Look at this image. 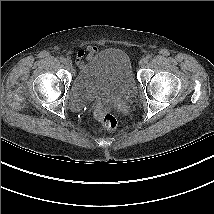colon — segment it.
<instances>
[{
    "instance_id": "5ec220e1",
    "label": "colon",
    "mask_w": 214,
    "mask_h": 214,
    "mask_svg": "<svg viewBox=\"0 0 214 214\" xmlns=\"http://www.w3.org/2000/svg\"><path fill=\"white\" fill-rule=\"evenodd\" d=\"M96 116L102 123V127L104 130L113 131L117 128V119L111 113V109L106 103H98L96 105Z\"/></svg>"
}]
</instances>
